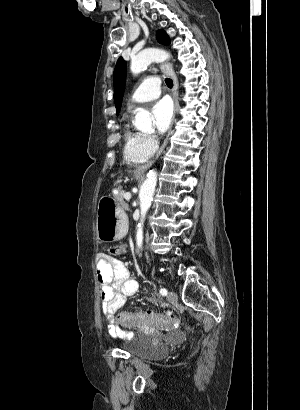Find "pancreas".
<instances>
[{
	"mask_svg": "<svg viewBox=\"0 0 300 410\" xmlns=\"http://www.w3.org/2000/svg\"><path fill=\"white\" fill-rule=\"evenodd\" d=\"M124 195L125 191L119 190V193L115 195L114 198L123 209L129 210V206L125 201Z\"/></svg>",
	"mask_w": 300,
	"mask_h": 410,
	"instance_id": "obj_1",
	"label": "pancreas"
}]
</instances>
